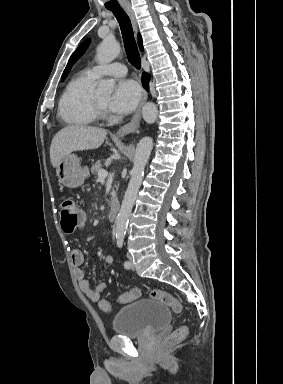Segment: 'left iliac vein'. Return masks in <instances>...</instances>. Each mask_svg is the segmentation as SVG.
<instances>
[{
    "label": "left iliac vein",
    "instance_id": "left-iliac-vein-1",
    "mask_svg": "<svg viewBox=\"0 0 283 384\" xmlns=\"http://www.w3.org/2000/svg\"><path fill=\"white\" fill-rule=\"evenodd\" d=\"M127 257H128V259H129L130 268L134 269L132 256L128 253V254H127Z\"/></svg>",
    "mask_w": 283,
    "mask_h": 384
}]
</instances>
